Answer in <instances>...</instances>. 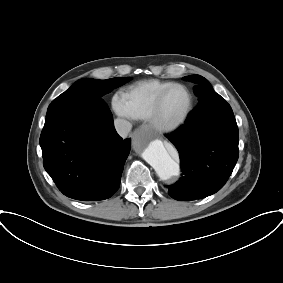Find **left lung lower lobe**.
Wrapping results in <instances>:
<instances>
[{"label":"left lung lower lobe","mask_w":283,"mask_h":283,"mask_svg":"<svg viewBox=\"0 0 283 283\" xmlns=\"http://www.w3.org/2000/svg\"><path fill=\"white\" fill-rule=\"evenodd\" d=\"M233 111L217 94L191 111L178 130L167 135L180 154L182 177L169 186L176 200H195L220 190L238 160V137L222 136Z\"/></svg>","instance_id":"obj_1"}]
</instances>
